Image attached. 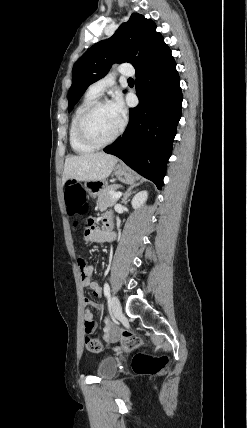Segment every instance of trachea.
<instances>
[{
  "instance_id": "3493384b",
  "label": "trachea",
  "mask_w": 247,
  "mask_h": 428,
  "mask_svg": "<svg viewBox=\"0 0 247 428\" xmlns=\"http://www.w3.org/2000/svg\"><path fill=\"white\" fill-rule=\"evenodd\" d=\"M128 81H131V82H132V81H134V80H133L132 78H129V79H128Z\"/></svg>"
}]
</instances>
